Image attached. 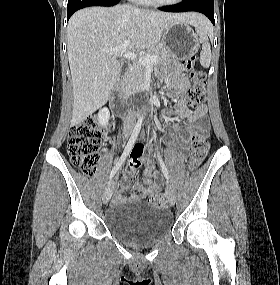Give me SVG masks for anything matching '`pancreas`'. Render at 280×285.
Returning <instances> with one entry per match:
<instances>
[{
  "mask_svg": "<svg viewBox=\"0 0 280 285\" xmlns=\"http://www.w3.org/2000/svg\"><path fill=\"white\" fill-rule=\"evenodd\" d=\"M145 55H156L157 62L164 61L171 56V53L163 46L157 45L146 51ZM147 71V66L141 64L139 61H134L130 73L124 80L125 93H137L144 90V78Z\"/></svg>",
  "mask_w": 280,
  "mask_h": 285,
  "instance_id": "cf45deb5",
  "label": "pancreas"
}]
</instances>
